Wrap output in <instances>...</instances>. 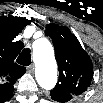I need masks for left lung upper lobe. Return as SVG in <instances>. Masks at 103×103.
<instances>
[{"label": "left lung upper lobe", "mask_w": 103, "mask_h": 103, "mask_svg": "<svg viewBox=\"0 0 103 103\" xmlns=\"http://www.w3.org/2000/svg\"><path fill=\"white\" fill-rule=\"evenodd\" d=\"M45 33L52 39L59 70V80L51 90V98L68 102L90 86L93 79L92 62L67 27L51 23L46 26Z\"/></svg>", "instance_id": "5c2ea615"}]
</instances>
